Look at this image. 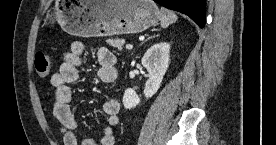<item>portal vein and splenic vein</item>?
I'll return each instance as SVG.
<instances>
[{
	"mask_svg": "<svg viewBox=\"0 0 276 145\" xmlns=\"http://www.w3.org/2000/svg\"><path fill=\"white\" fill-rule=\"evenodd\" d=\"M132 48H133V46L131 44L126 45V49L131 50Z\"/></svg>",
	"mask_w": 276,
	"mask_h": 145,
	"instance_id": "portal-vein-and-splenic-vein-1",
	"label": "portal vein and splenic vein"
}]
</instances>
